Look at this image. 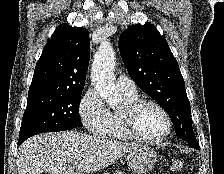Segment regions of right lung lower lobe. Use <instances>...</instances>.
Returning <instances> with one entry per match:
<instances>
[{
  "label": "right lung lower lobe",
  "mask_w": 224,
  "mask_h": 174,
  "mask_svg": "<svg viewBox=\"0 0 224 174\" xmlns=\"http://www.w3.org/2000/svg\"><path fill=\"white\" fill-rule=\"evenodd\" d=\"M26 139H19V144H21L22 142H24Z\"/></svg>",
  "instance_id": "1"
}]
</instances>
